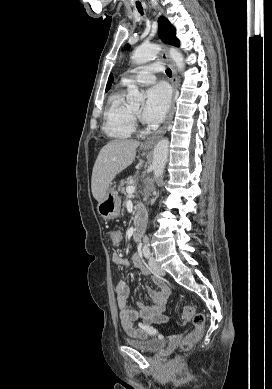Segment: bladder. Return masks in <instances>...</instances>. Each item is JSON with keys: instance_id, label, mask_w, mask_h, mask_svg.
<instances>
[{"instance_id": "1", "label": "bladder", "mask_w": 272, "mask_h": 389, "mask_svg": "<svg viewBox=\"0 0 272 389\" xmlns=\"http://www.w3.org/2000/svg\"><path fill=\"white\" fill-rule=\"evenodd\" d=\"M125 341L128 346L150 354L158 353L165 348V342L158 339H126Z\"/></svg>"}]
</instances>
